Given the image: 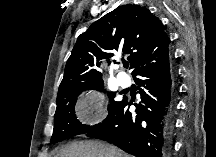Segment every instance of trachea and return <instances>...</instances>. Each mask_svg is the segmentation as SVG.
Masks as SVG:
<instances>
[{
    "label": "trachea",
    "mask_w": 216,
    "mask_h": 157,
    "mask_svg": "<svg viewBox=\"0 0 216 157\" xmlns=\"http://www.w3.org/2000/svg\"><path fill=\"white\" fill-rule=\"evenodd\" d=\"M123 65H124L125 68L129 67V63L128 62H123Z\"/></svg>",
    "instance_id": "trachea-1"
}]
</instances>
